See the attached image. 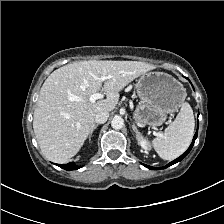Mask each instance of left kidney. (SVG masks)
<instances>
[{"instance_id": "obj_1", "label": "left kidney", "mask_w": 224, "mask_h": 224, "mask_svg": "<svg viewBox=\"0 0 224 224\" xmlns=\"http://www.w3.org/2000/svg\"><path fill=\"white\" fill-rule=\"evenodd\" d=\"M138 144L145 150H149L150 148V145H149V142L144 139L143 137H138Z\"/></svg>"}]
</instances>
